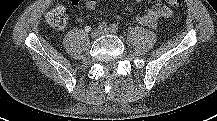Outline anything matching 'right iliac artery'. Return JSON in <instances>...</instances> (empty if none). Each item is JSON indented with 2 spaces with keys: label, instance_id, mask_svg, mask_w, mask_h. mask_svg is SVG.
<instances>
[{
  "label": "right iliac artery",
  "instance_id": "1",
  "mask_svg": "<svg viewBox=\"0 0 217 121\" xmlns=\"http://www.w3.org/2000/svg\"><path fill=\"white\" fill-rule=\"evenodd\" d=\"M99 29H100V30H106V29H107V24H106L105 22L101 23V24L99 25Z\"/></svg>",
  "mask_w": 217,
  "mask_h": 121
}]
</instances>
